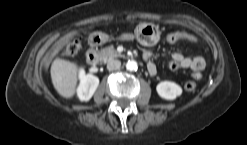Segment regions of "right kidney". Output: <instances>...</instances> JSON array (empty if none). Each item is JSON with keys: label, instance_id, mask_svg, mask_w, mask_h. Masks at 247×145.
<instances>
[{"label": "right kidney", "instance_id": "obj_1", "mask_svg": "<svg viewBox=\"0 0 247 145\" xmlns=\"http://www.w3.org/2000/svg\"><path fill=\"white\" fill-rule=\"evenodd\" d=\"M79 78L77 95L81 101H89L99 85V79L92 74H85L84 69L79 71Z\"/></svg>", "mask_w": 247, "mask_h": 145}]
</instances>
